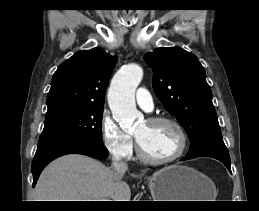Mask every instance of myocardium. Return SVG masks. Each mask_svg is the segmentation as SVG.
<instances>
[{
  "label": "myocardium",
  "mask_w": 259,
  "mask_h": 211,
  "mask_svg": "<svg viewBox=\"0 0 259 211\" xmlns=\"http://www.w3.org/2000/svg\"><path fill=\"white\" fill-rule=\"evenodd\" d=\"M146 121L150 124H169L173 126L177 132L179 144L177 150L172 155L163 158H154L148 156L144 152L138 139L136 138V151L139 159L148 164L159 165L171 163L180 158L187 147V135L180 122L169 116L150 117Z\"/></svg>",
  "instance_id": "f54148a6"
}]
</instances>
